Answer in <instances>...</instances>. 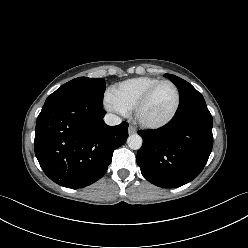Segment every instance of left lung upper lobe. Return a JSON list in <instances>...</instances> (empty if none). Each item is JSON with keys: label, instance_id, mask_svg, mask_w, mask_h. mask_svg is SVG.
Segmentation results:
<instances>
[{"label": "left lung upper lobe", "instance_id": "left-lung-upper-lobe-1", "mask_svg": "<svg viewBox=\"0 0 248 248\" xmlns=\"http://www.w3.org/2000/svg\"><path fill=\"white\" fill-rule=\"evenodd\" d=\"M165 76L170 79L179 90L180 102L177 113L182 112L197 103L205 102L201 93L187 81L172 74H165Z\"/></svg>", "mask_w": 248, "mask_h": 248}]
</instances>
